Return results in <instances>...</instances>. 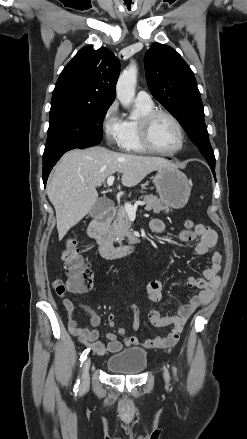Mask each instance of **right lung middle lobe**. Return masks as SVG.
<instances>
[{"mask_svg": "<svg viewBox=\"0 0 247 439\" xmlns=\"http://www.w3.org/2000/svg\"><path fill=\"white\" fill-rule=\"evenodd\" d=\"M109 106L63 103L51 106L43 162L75 148L102 140V124Z\"/></svg>", "mask_w": 247, "mask_h": 439, "instance_id": "right-lung-middle-lobe-1", "label": "right lung middle lobe"}]
</instances>
